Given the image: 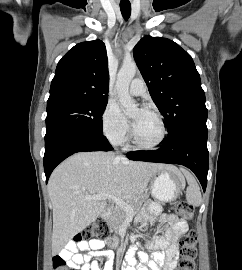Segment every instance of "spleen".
<instances>
[{"instance_id":"obj_1","label":"spleen","mask_w":242,"mask_h":270,"mask_svg":"<svg viewBox=\"0 0 242 270\" xmlns=\"http://www.w3.org/2000/svg\"><path fill=\"white\" fill-rule=\"evenodd\" d=\"M184 175H185L187 182H188V185H189L187 190H186V200L191 205L199 206L202 202L200 188H199L196 180L194 179V177L190 173L185 171Z\"/></svg>"}]
</instances>
